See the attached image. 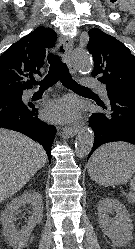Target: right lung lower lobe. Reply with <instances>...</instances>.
<instances>
[{"instance_id":"98d812e1","label":"right lung lower lobe","mask_w":135,"mask_h":249,"mask_svg":"<svg viewBox=\"0 0 135 249\" xmlns=\"http://www.w3.org/2000/svg\"><path fill=\"white\" fill-rule=\"evenodd\" d=\"M0 127L21 132L38 141L51 159L56 128L39 119L38 110L31 102L22 101V97L0 93Z\"/></svg>"}]
</instances>
